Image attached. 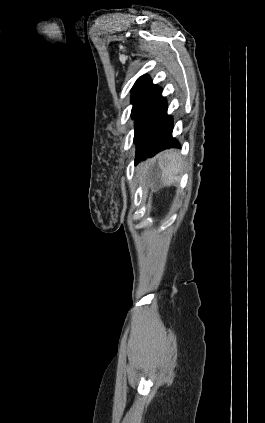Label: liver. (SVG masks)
I'll use <instances>...</instances> for the list:
<instances>
[{
  "label": "liver",
  "mask_w": 265,
  "mask_h": 423,
  "mask_svg": "<svg viewBox=\"0 0 265 423\" xmlns=\"http://www.w3.org/2000/svg\"><path fill=\"white\" fill-rule=\"evenodd\" d=\"M156 161L162 171L161 180L164 186H169L178 180L177 174L182 169V158L178 151H164L156 156L154 162Z\"/></svg>",
  "instance_id": "1"
}]
</instances>
